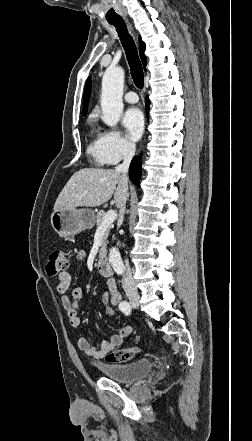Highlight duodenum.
I'll list each match as a JSON object with an SVG mask.
<instances>
[{"label": "duodenum", "instance_id": "obj_1", "mask_svg": "<svg viewBox=\"0 0 252 441\" xmlns=\"http://www.w3.org/2000/svg\"><path fill=\"white\" fill-rule=\"evenodd\" d=\"M98 268L101 274L105 276H111L113 274V268L108 258L101 256L98 260Z\"/></svg>", "mask_w": 252, "mask_h": 441}]
</instances>
